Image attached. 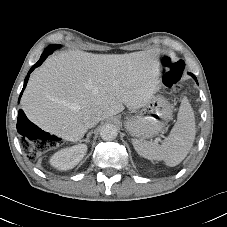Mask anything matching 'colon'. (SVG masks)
Segmentation results:
<instances>
[{"label":"colon","instance_id":"5ec220e1","mask_svg":"<svg viewBox=\"0 0 227 227\" xmlns=\"http://www.w3.org/2000/svg\"><path fill=\"white\" fill-rule=\"evenodd\" d=\"M185 65L181 60H173L170 56H162L159 60V72L163 77L167 87L178 90L181 87V81L184 74ZM33 144L26 143L25 149L29 158H35L37 153L44 152L53 146L52 138L44 132H36L31 138Z\"/></svg>","mask_w":227,"mask_h":227}]
</instances>
